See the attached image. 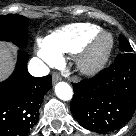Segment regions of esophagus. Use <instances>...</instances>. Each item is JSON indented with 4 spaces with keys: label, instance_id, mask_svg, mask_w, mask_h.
<instances>
[{
    "label": "esophagus",
    "instance_id": "obj_1",
    "mask_svg": "<svg viewBox=\"0 0 136 136\" xmlns=\"http://www.w3.org/2000/svg\"><path fill=\"white\" fill-rule=\"evenodd\" d=\"M59 80H61L60 75H59L57 72H54V73L52 74V82H53V83H56V82H58Z\"/></svg>",
    "mask_w": 136,
    "mask_h": 136
}]
</instances>
